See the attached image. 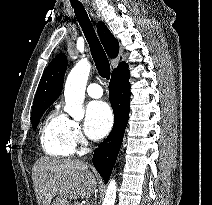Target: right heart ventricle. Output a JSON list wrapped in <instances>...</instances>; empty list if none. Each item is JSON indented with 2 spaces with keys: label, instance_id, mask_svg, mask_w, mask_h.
Here are the masks:
<instances>
[{
  "label": "right heart ventricle",
  "instance_id": "right-heart-ventricle-1",
  "mask_svg": "<svg viewBox=\"0 0 212 205\" xmlns=\"http://www.w3.org/2000/svg\"><path fill=\"white\" fill-rule=\"evenodd\" d=\"M40 143L43 151L52 157H70L75 145L70 135V120L58 111L50 112L40 129Z\"/></svg>",
  "mask_w": 212,
  "mask_h": 205
}]
</instances>
